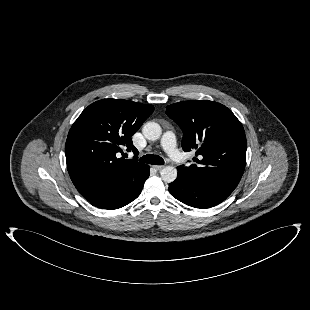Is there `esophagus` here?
I'll list each match as a JSON object with an SVG mask.
<instances>
[{
    "label": "esophagus",
    "instance_id": "esophagus-1",
    "mask_svg": "<svg viewBox=\"0 0 310 310\" xmlns=\"http://www.w3.org/2000/svg\"><path fill=\"white\" fill-rule=\"evenodd\" d=\"M153 168H155L157 171H160L164 168L162 165H154Z\"/></svg>",
    "mask_w": 310,
    "mask_h": 310
}]
</instances>
